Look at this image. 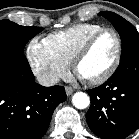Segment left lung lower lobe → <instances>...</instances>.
<instances>
[{
    "label": "left lung lower lobe",
    "instance_id": "0a47b994",
    "mask_svg": "<svg viewBox=\"0 0 139 139\" xmlns=\"http://www.w3.org/2000/svg\"><path fill=\"white\" fill-rule=\"evenodd\" d=\"M87 123L102 139H124L139 128V49L123 56L115 73L87 91Z\"/></svg>",
    "mask_w": 139,
    "mask_h": 139
}]
</instances>
